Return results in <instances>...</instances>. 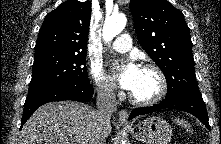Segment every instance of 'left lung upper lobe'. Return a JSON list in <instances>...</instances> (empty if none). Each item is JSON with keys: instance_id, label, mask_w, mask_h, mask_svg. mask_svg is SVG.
<instances>
[{"instance_id": "1", "label": "left lung upper lobe", "mask_w": 221, "mask_h": 144, "mask_svg": "<svg viewBox=\"0 0 221 144\" xmlns=\"http://www.w3.org/2000/svg\"><path fill=\"white\" fill-rule=\"evenodd\" d=\"M130 11L142 48L166 78V98L202 100L195 79L192 41L182 12L167 0H131Z\"/></svg>"}]
</instances>
